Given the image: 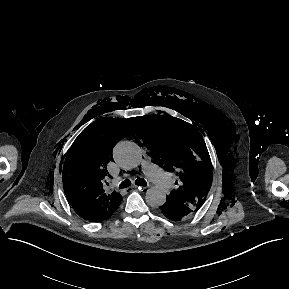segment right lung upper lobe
I'll list each match as a JSON object with an SVG mask.
<instances>
[{
  "mask_svg": "<svg viewBox=\"0 0 289 289\" xmlns=\"http://www.w3.org/2000/svg\"><path fill=\"white\" fill-rule=\"evenodd\" d=\"M130 119L96 123L81 133L68 152L63 167V186L75 212L90 222L108 219L121 203L119 193H105L103 179L112 148L129 131ZM132 126V125H130Z\"/></svg>",
  "mask_w": 289,
  "mask_h": 289,
  "instance_id": "obj_1",
  "label": "right lung upper lobe"
}]
</instances>
